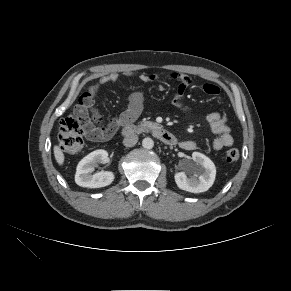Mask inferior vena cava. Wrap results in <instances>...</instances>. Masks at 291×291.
<instances>
[{
    "label": "inferior vena cava",
    "mask_w": 291,
    "mask_h": 291,
    "mask_svg": "<svg viewBox=\"0 0 291 291\" xmlns=\"http://www.w3.org/2000/svg\"><path fill=\"white\" fill-rule=\"evenodd\" d=\"M138 142V136L136 134L129 135L124 138L123 144L126 147H132Z\"/></svg>",
    "instance_id": "602c4592"
}]
</instances>
